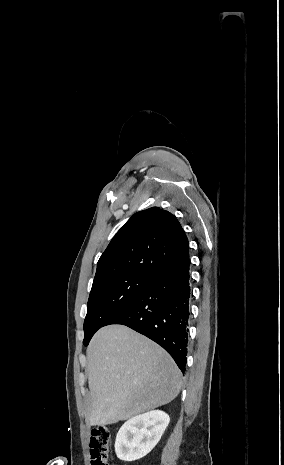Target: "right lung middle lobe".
I'll list each match as a JSON object with an SVG mask.
<instances>
[{
    "mask_svg": "<svg viewBox=\"0 0 284 465\" xmlns=\"http://www.w3.org/2000/svg\"><path fill=\"white\" fill-rule=\"evenodd\" d=\"M152 279L153 277L141 274H124L93 284L83 326L84 345L87 346L95 332L132 301Z\"/></svg>",
    "mask_w": 284,
    "mask_h": 465,
    "instance_id": "right-lung-middle-lobe-1",
    "label": "right lung middle lobe"
}]
</instances>
